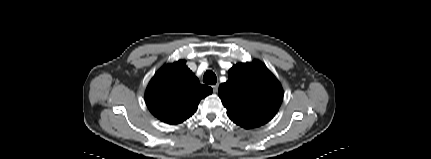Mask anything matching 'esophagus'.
<instances>
[{"instance_id": "34e87169", "label": "esophagus", "mask_w": 431, "mask_h": 159, "mask_svg": "<svg viewBox=\"0 0 431 159\" xmlns=\"http://www.w3.org/2000/svg\"><path fill=\"white\" fill-rule=\"evenodd\" d=\"M218 88H219V84H218V83H217V84H215V85H213V86H212L213 92H214V93L218 92Z\"/></svg>"}]
</instances>
